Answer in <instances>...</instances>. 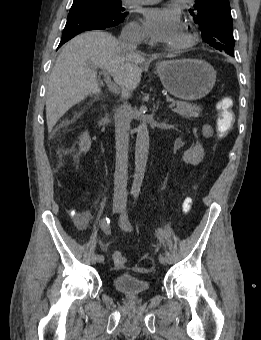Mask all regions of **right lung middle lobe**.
<instances>
[{
  "mask_svg": "<svg viewBox=\"0 0 261 340\" xmlns=\"http://www.w3.org/2000/svg\"><path fill=\"white\" fill-rule=\"evenodd\" d=\"M86 10L94 12L104 19L113 20L115 22H122L127 12L122 8L121 0H91L74 2L70 11Z\"/></svg>",
  "mask_w": 261,
  "mask_h": 340,
  "instance_id": "right-lung-middle-lobe-1",
  "label": "right lung middle lobe"
}]
</instances>
